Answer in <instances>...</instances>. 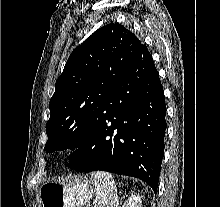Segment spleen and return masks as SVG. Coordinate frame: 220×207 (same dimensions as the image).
<instances>
[{
  "instance_id": "obj_1",
  "label": "spleen",
  "mask_w": 220,
  "mask_h": 207,
  "mask_svg": "<svg viewBox=\"0 0 220 207\" xmlns=\"http://www.w3.org/2000/svg\"><path fill=\"white\" fill-rule=\"evenodd\" d=\"M92 180L95 184L96 207H117L118 196L113 176L108 172H92Z\"/></svg>"
}]
</instances>
